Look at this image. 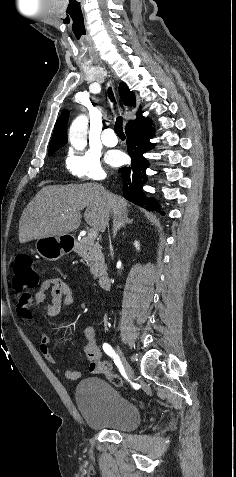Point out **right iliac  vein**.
<instances>
[{"mask_svg":"<svg viewBox=\"0 0 236 477\" xmlns=\"http://www.w3.org/2000/svg\"><path fill=\"white\" fill-rule=\"evenodd\" d=\"M117 352H118L119 356L121 357L122 364H123L124 370H125L128 378L132 379L133 376H134V370H133L132 366L128 363L126 358L124 357L123 352H122V350L119 346H117Z\"/></svg>","mask_w":236,"mask_h":477,"instance_id":"obj_1","label":"right iliac vein"}]
</instances>
